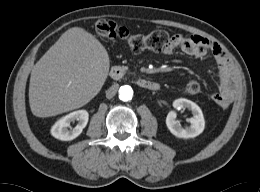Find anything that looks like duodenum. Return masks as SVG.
<instances>
[{
	"label": "duodenum",
	"instance_id": "1",
	"mask_svg": "<svg viewBox=\"0 0 260 192\" xmlns=\"http://www.w3.org/2000/svg\"><path fill=\"white\" fill-rule=\"evenodd\" d=\"M110 77L115 81L121 80L124 77V72L120 67H113L110 71ZM135 84L138 87L149 91H157L160 88L159 83L145 78L136 79Z\"/></svg>",
	"mask_w": 260,
	"mask_h": 192
}]
</instances>
